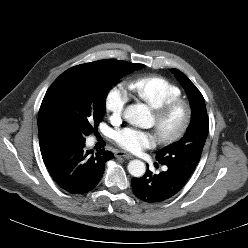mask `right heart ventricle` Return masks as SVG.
<instances>
[{
  "label": "right heart ventricle",
  "mask_w": 248,
  "mask_h": 248,
  "mask_svg": "<svg viewBox=\"0 0 248 248\" xmlns=\"http://www.w3.org/2000/svg\"><path fill=\"white\" fill-rule=\"evenodd\" d=\"M128 89L132 95L147 103L152 109L182 96L178 85L167 78L154 75L141 76L130 81Z\"/></svg>",
  "instance_id": "1"
}]
</instances>
